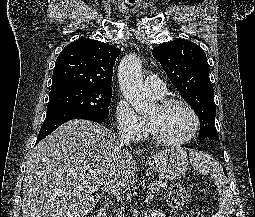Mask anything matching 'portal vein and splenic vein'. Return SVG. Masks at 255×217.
I'll return each mask as SVG.
<instances>
[{
  "label": "portal vein and splenic vein",
  "mask_w": 255,
  "mask_h": 217,
  "mask_svg": "<svg viewBox=\"0 0 255 217\" xmlns=\"http://www.w3.org/2000/svg\"><path fill=\"white\" fill-rule=\"evenodd\" d=\"M91 191H98V187L90 188ZM153 199V192H150L145 200L146 203H149Z\"/></svg>",
  "instance_id": "portal-vein-and-splenic-vein-1"
}]
</instances>
